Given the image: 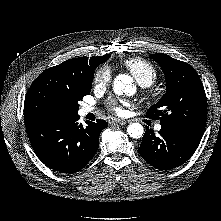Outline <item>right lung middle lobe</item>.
<instances>
[{
    "mask_svg": "<svg viewBox=\"0 0 221 221\" xmlns=\"http://www.w3.org/2000/svg\"><path fill=\"white\" fill-rule=\"evenodd\" d=\"M109 57H103L96 66ZM93 76L94 71L86 79L79 80L50 69L43 71L26 94L24 117L58 118L77 114L78 101L90 93Z\"/></svg>",
    "mask_w": 221,
    "mask_h": 221,
    "instance_id": "1",
    "label": "right lung middle lobe"
}]
</instances>
